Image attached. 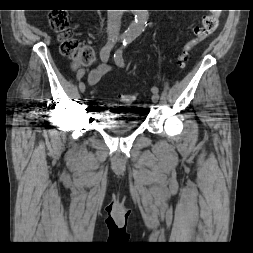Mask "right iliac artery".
Here are the masks:
<instances>
[{
  "mask_svg": "<svg viewBox=\"0 0 253 253\" xmlns=\"http://www.w3.org/2000/svg\"><path fill=\"white\" fill-rule=\"evenodd\" d=\"M117 39H113L112 41H109L106 45H104L100 51V58L102 62L106 63L109 59L111 50L115 44ZM85 77V68H82V70H79L78 73L76 74V80L80 81L81 78Z\"/></svg>",
  "mask_w": 253,
  "mask_h": 253,
  "instance_id": "obj_1",
  "label": "right iliac artery"
}]
</instances>
